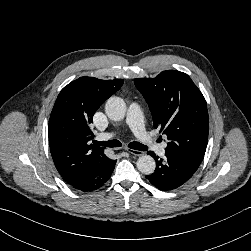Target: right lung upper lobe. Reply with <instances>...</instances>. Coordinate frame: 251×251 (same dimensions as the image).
Wrapping results in <instances>:
<instances>
[{
	"instance_id": "1",
	"label": "right lung upper lobe",
	"mask_w": 251,
	"mask_h": 251,
	"mask_svg": "<svg viewBox=\"0 0 251 251\" xmlns=\"http://www.w3.org/2000/svg\"><path fill=\"white\" fill-rule=\"evenodd\" d=\"M123 82L80 77L59 93L50 115L48 135L54 164L67 183H74L88 166L106 158L103 147L90 144L93 136L89 125L98 108Z\"/></svg>"
}]
</instances>
